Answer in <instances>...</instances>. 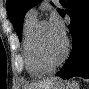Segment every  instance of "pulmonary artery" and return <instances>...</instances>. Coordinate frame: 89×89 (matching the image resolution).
Segmentation results:
<instances>
[{
	"label": "pulmonary artery",
	"mask_w": 89,
	"mask_h": 89,
	"mask_svg": "<svg viewBox=\"0 0 89 89\" xmlns=\"http://www.w3.org/2000/svg\"><path fill=\"white\" fill-rule=\"evenodd\" d=\"M28 14L33 15V16H37V10L35 8H32L28 11Z\"/></svg>",
	"instance_id": "1"
}]
</instances>
